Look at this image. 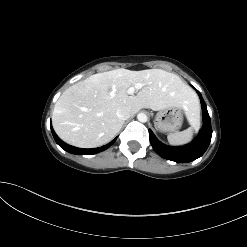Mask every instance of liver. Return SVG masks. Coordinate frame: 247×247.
<instances>
[{
  "instance_id": "6515ba94",
  "label": "liver",
  "mask_w": 247,
  "mask_h": 247,
  "mask_svg": "<svg viewBox=\"0 0 247 247\" xmlns=\"http://www.w3.org/2000/svg\"><path fill=\"white\" fill-rule=\"evenodd\" d=\"M137 83L144 86L137 95L127 90ZM126 106L131 114L142 108L154 111L170 107L189 112L198 108V100L181 78L161 69L131 71L115 69L91 75L69 87L60 96L52 114L53 128L66 143L93 148L111 141L123 121L116 115Z\"/></svg>"
}]
</instances>
